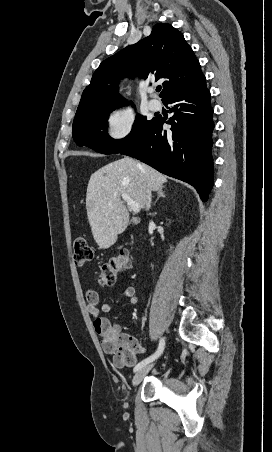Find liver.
Segmentation results:
<instances>
[{"label":"liver","instance_id":"6515ba94","mask_svg":"<svg viewBox=\"0 0 272 452\" xmlns=\"http://www.w3.org/2000/svg\"><path fill=\"white\" fill-rule=\"evenodd\" d=\"M166 181L165 175L129 157L94 172L87 187L86 209L97 245L103 249L110 247L128 225L129 213L122 202V193L144 209L146 190L156 191Z\"/></svg>","mask_w":272,"mask_h":452}]
</instances>
